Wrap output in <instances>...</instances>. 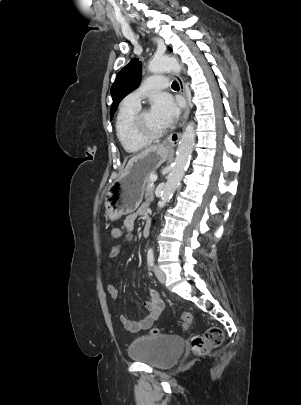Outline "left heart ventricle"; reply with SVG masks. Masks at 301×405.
I'll return each instance as SVG.
<instances>
[{"label": "left heart ventricle", "mask_w": 301, "mask_h": 405, "mask_svg": "<svg viewBox=\"0 0 301 405\" xmlns=\"http://www.w3.org/2000/svg\"><path fill=\"white\" fill-rule=\"evenodd\" d=\"M143 127L146 131L157 133L166 128V126L152 113L146 111L143 116Z\"/></svg>", "instance_id": "obj_1"}]
</instances>
